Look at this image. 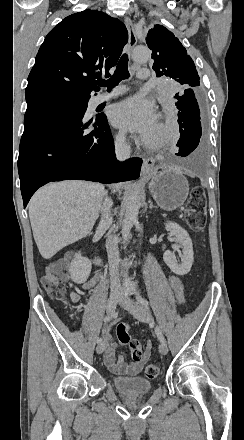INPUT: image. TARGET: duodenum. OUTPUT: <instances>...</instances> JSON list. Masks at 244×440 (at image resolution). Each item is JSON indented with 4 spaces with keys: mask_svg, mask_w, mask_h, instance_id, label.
Segmentation results:
<instances>
[{
    "mask_svg": "<svg viewBox=\"0 0 244 440\" xmlns=\"http://www.w3.org/2000/svg\"><path fill=\"white\" fill-rule=\"evenodd\" d=\"M93 261L97 267H101L104 263L102 256L97 253L93 254Z\"/></svg>",
    "mask_w": 244,
    "mask_h": 440,
    "instance_id": "duodenum-1",
    "label": "duodenum"
}]
</instances>
